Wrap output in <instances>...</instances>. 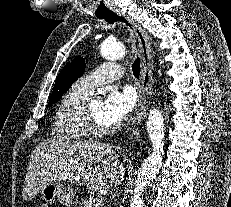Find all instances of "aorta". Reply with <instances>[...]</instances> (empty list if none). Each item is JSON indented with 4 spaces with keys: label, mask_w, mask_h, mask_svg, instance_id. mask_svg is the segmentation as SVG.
Here are the masks:
<instances>
[{
    "label": "aorta",
    "mask_w": 231,
    "mask_h": 207,
    "mask_svg": "<svg viewBox=\"0 0 231 207\" xmlns=\"http://www.w3.org/2000/svg\"><path fill=\"white\" fill-rule=\"evenodd\" d=\"M100 52L101 56L107 60H118L127 54V49L120 42L106 40L102 43ZM146 128L152 143V153L145 159L138 173L130 207H144L142 195L159 173L163 164L164 122L158 109L150 110L146 120Z\"/></svg>",
    "instance_id": "1"
}]
</instances>
